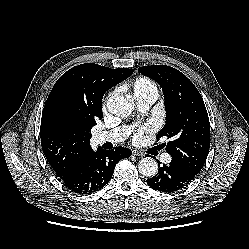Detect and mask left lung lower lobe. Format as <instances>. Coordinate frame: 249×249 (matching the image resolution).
I'll return each mask as SVG.
<instances>
[{
  "label": "left lung lower lobe",
  "mask_w": 249,
  "mask_h": 249,
  "mask_svg": "<svg viewBox=\"0 0 249 249\" xmlns=\"http://www.w3.org/2000/svg\"><path fill=\"white\" fill-rule=\"evenodd\" d=\"M158 167L161 164L158 160ZM196 174L184 169L179 163L172 160L170 164L159 167L158 173L147 179V184L163 192H173L185 187Z\"/></svg>",
  "instance_id": "0a47b994"
}]
</instances>
